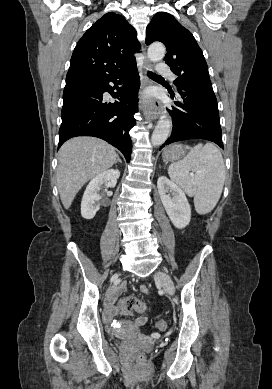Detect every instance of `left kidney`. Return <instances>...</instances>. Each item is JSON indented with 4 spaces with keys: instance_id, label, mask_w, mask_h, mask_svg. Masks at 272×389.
Segmentation results:
<instances>
[{
    "instance_id": "1",
    "label": "left kidney",
    "mask_w": 272,
    "mask_h": 389,
    "mask_svg": "<svg viewBox=\"0 0 272 389\" xmlns=\"http://www.w3.org/2000/svg\"><path fill=\"white\" fill-rule=\"evenodd\" d=\"M157 188L173 225L178 229L185 228L191 219V208L183 190L165 176L158 178Z\"/></svg>"
}]
</instances>
